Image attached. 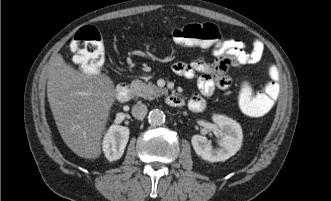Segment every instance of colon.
I'll return each mask as SVG.
<instances>
[{
  "instance_id": "5ec220e1",
  "label": "colon",
  "mask_w": 331,
  "mask_h": 201,
  "mask_svg": "<svg viewBox=\"0 0 331 201\" xmlns=\"http://www.w3.org/2000/svg\"><path fill=\"white\" fill-rule=\"evenodd\" d=\"M173 42L184 46L217 48L223 43V33L211 23H194L174 29L170 33ZM72 50L78 67L85 73L100 71L105 60L104 44L99 31L93 26L81 28L73 38ZM270 81L256 90L250 83L243 82L238 89L241 110L253 117L267 114L279 95V70L275 65L268 69Z\"/></svg>"
}]
</instances>
